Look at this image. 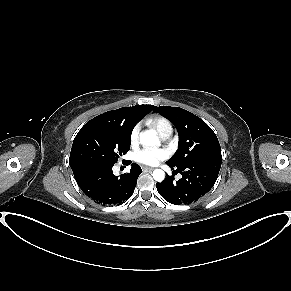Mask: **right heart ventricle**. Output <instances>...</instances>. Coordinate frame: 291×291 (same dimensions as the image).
I'll use <instances>...</instances> for the list:
<instances>
[{
    "label": "right heart ventricle",
    "instance_id": "1",
    "mask_svg": "<svg viewBox=\"0 0 291 291\" xmlns=\"http://www.w3.org/2000/svg\"><path fill=\"white\" fill-rule=\"evenodd\" d=\"M148 123L161 134L167 128H172L171 123L163 116H153L149 119Z\"/></svg>",
    "mask_w": 291,
    "mask_h": 291
}]
</instances>
